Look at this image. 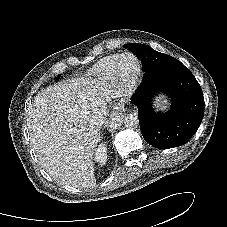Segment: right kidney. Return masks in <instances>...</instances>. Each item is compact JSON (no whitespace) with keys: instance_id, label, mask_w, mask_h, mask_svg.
<instances>
[{"instance_id":"ca27d5eb","label":"right kidney","mask_w":227,"mask_h":227,"mask_svg":"<svg viewBox=\"0 0 227 227\" xmlns=\"http://www.w3.org/2000/svg\"><path fill=\"white\" fill-rule=\"evenodd\" d=\"M95 161L104 165L107 161V148L106 145L101 143L98 148L95 150Z\"/></svg>"}]
</instances>
